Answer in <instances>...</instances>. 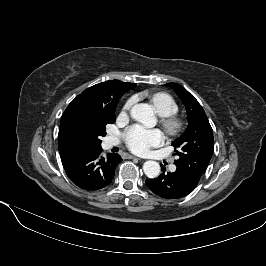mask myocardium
Segmentation results:
<instances>
[{
    "label": "myocardium",
    "mask_w": 266,
    "mask_h": 266,
    "mask_svg": "<svg viewBox=\"0 0 266 266\" xmlns=\"http://www.w3.org/2000/svg\"><path fill=\"white\" fill-rule=\"evenodd\" d=\"M161 123L165 131L172 136L180 134L185 127V121L176 115L163 117Z\"/></svg>",
    "instance_id": "myocardium-1"
}]
</instances>
